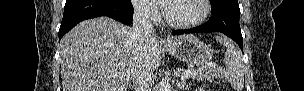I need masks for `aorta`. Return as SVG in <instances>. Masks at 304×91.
<instances>
[{
  "label": "aorta",
  "mask_w": 304,
  "mask_h": 91,
  "mask_svg": "<svg viewBox=\"0 0 304 91\" xmlns=\"http://www.w3.org/2000/svg\"><path fill=\"white\" fill-rule=\"evenodd\" d=\"M158 91H171L170 83L166 80H162L159 83Z\"/></svg>",
  "instance_id": "762f6f07"
}]
</instances>
